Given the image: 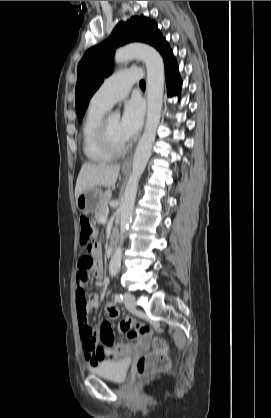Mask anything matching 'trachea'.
I'll use <instances>...</instances> for the list:
<instances>
[{
	"label": "trachea",
	"mask_w": 271,
	"mask_h": 418,
	"mask_svg": "<svg viewBox=\"0 0 271 418\" xmlns=\"http://www.w3.org/2000/svg\"><path fill=\"white\" fill-rule=\"evenodd\" d=\"M139 85H140L141 88H145L146 87V83H145L144 80H141L140 83H139Z\"/></svg>",
	"instance_id": "3493384b"
}]
</instances>
